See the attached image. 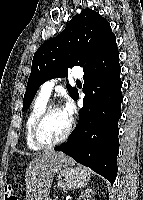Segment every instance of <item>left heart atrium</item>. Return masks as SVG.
<instances>
[{"instance_id":"39dd6f15","label":"left heart atrium","mask_w":143,"mask_h":200,"mask_svg":"<svg viewBox=\"0 0 143 200\" xmlns=\"http://www.w3.org/2000/svg\"><path fill=\"white\" fill-rule=\"evenodd\" d=\"M63 111L66 114V116L71 119L74 113V107L73 104L70 101H67L63 107Z\"/></svg>"}]
</instances>
